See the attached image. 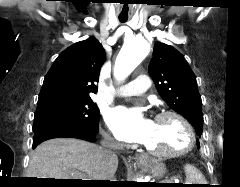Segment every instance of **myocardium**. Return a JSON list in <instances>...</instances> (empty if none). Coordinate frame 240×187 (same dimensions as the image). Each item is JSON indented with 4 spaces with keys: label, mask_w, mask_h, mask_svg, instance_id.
I'll use <instances>...</instances> for the list:
<instances>
[{
    "label": "myocardium",
    "mask_w": 240,
    "mask_h": 187,
    "mask_svg": "<svg viewBox=\"0 0 240 187\" xmlns=\"http://www.w3.org/2000/svg\"><path fill=\"white\" fill-rule=\"evenodd\" d=\"M165 117H173L179 122L185 133L186 142L184 146L178 149L166 151H155L146 146L145 149L147 153L160 158H174L187 154L193 149L195 145V133L191 123L187 120V118L183 114L175 110H163L156 115L155 119L160 120Z\"/></svg>",
    "instance_id": "myocardium-1"
}]
</instances>
